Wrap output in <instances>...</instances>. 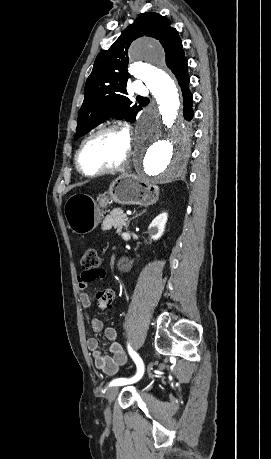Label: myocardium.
Here are the masks:
<instances>
[{"label": "myocardium", "mask_w": 271, "mask_h": 459, "mask_svg": "<svg viewBox=\"0 0 271 459\" xmlns=\"http://www.w3.org/2000/svg\"><path fill=\"white\" fill-rule=\"evenodd\" d=\"M107 131L116 132V133H119V134L124 135V136L127 137L128 141H129V147H128L127 152L116 163L99 167V168H97V169H95L93 171L85 170L82 167L81 162H80V155H81V152H82V149H83L84 145L93 136L98 135V134L103 133V132H107ZM132 151H133V147H132L131 141H130V139H129L126 131H125V127L122 126L120 123L114 121V122L107 123L105 125H102V126L96 128V129H94L93 131L88 133L83 138V140L80 142V144H79V146H78V148H77V150L75 152L74 163H75V167H76V169L78 170L79 173H81L82 175H84L86 177H95L97 175L108 173V172L117 171V170H120L121 168L125 167L129 163L130 157L132 155Z\"/></svg>", "instance_id": "f54148a6"}]
</instances>
